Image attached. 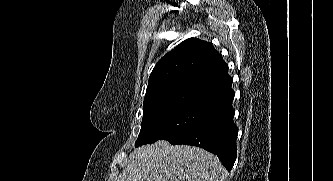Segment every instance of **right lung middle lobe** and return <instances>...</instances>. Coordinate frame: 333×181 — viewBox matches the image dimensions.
I'll return each mask as SVG.
<instances>
[{"label":"right lung middle lobe","instance_id":"right-lung-middle-lobe-1","mask_svg":"<svg viewBox=\"0 0 333 181\" xmlns=\"http://www.w3.org/2000/svg\"><path fill=\"white\" fill-rule=\"evenodd\" d=\"M206 109L187 105H167L145 109L135 147L157 140H172L191 128Z\"/></svg>","mask_w":333,"mask_h":181}]
</instances>
